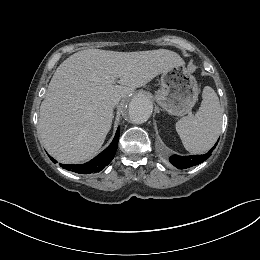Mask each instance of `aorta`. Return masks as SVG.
<instances>
[{
    "label": "aorta",
    "mask_w": 260,
    "mask_h": 260,
    "mask_svg": "<svg viewBox=\"0 0 260 260\" xmlns=\"http://www.w3.org/2000/svg\"><path fill=\"white\" fill-rule=\"evenodd\" d=\"M153 110L152 102L145 95L133 97L128 107L129 121L135 125L145 123L151 116Z\"/></svg>",
    "instance_id": "aorta-1"
}]
</instances>
